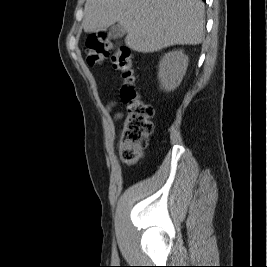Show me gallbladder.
I'll return each mask as SVG.
<instances>
[{"instance_id": "gallbladder-1", "label": "gallbladder", "mask_w": 267, "mask_h": 267, "mask_svg": "<svg viewBox=\"0 0 267 267\" xmlns=\"http://www.w3.org/2000/svg\"><path fill=\"white\" fill-rule=\"evenodd\" d=\"M125 33H126L125 28L120 24L113 25L109 29V37L111 39L121 38L125 35Z\"/></svg>"}]
</instances>
